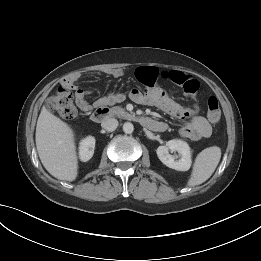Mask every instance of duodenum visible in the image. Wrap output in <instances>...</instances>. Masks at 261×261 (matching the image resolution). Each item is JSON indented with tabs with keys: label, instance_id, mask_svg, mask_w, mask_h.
<instances>
[{
	"label": "duodenum",
	"instance_id": "obj_1",
	"mask_svg": "<svg viewBox=\"0 0 261 261\" xmlns=\"http://www.w3.org/2000/svg\"><path fill=\"white\" fill-rule=\"evenodd\" d=\"M113 110L108 106L102 105L98 107L92 114V119L96 122H101L113 114ZM126 117L138 121L142 126L153 130V131H163L165 130V125L147 116H135L132 114H125Z\"/></svg>",
	"mask_w": 261,
	"mask_h": 261
}]
</instances>
